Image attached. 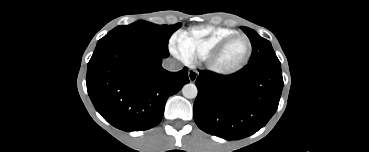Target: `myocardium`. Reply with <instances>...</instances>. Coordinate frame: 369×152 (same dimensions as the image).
I'll return each instance as SVG.
<instances>
[{
  "instance_id": "f54148a6",
  "label": "myocardium",
  "mask_w": 369,
  "mask_h": 152,
  "mask_svg": "<svg viewBox=\"0 0 369 152\" xmlns=\"http://www.w3.org/2000/svg\"><path fill=\"white\" fill-rule=\"evenodd\" d=\"M243 38L246 40L248 44V49L245 57L241 62H239L237 65L229 67V68H223L220 67L217 64V60L221 53L224 51V49L235 39ZM253 46L250 38L243 34V33H235L232 34L223 40H221L216 46H214L208 54L204 57L203 62L207 70L211 71L212 73H215L217 75H231L238 71H240L243 67L247 65V63L250 60V57L252 55Z\"/></svg>"
}]
</instances>
